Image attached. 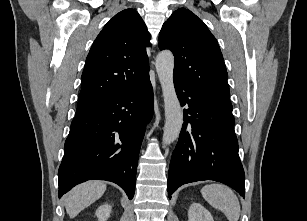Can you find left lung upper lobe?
<instances>
[{
    "label": "left lung upper lobe",
    "instance_id": "5c2ea615",
    "mask_svg": "<svg viewBox=\"0 0 307 221\" xmlns=\"http://www.w3.org/2000/svg\"><path fill=\"white\" fill-rule=\"evenodd\" d=\"M159 48L173 52L174 78L198 96L232 113L223 56L202 20L185 8L174 11L162 26Z\"/></svg>",
    "mask_w": 307,
    "mask_h": 221
}]
</instances>
